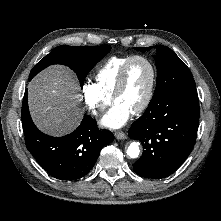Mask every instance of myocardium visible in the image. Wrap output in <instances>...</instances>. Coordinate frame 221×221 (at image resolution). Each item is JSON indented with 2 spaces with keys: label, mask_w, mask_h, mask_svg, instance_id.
<instances>
[{
  "label": "myocardium",
  "mask_w": 221,
  "mask_h": 221,
  "mask_svg": "<svg viewBox=\"0 0 221 221\" xmlns=\"http://www.w3.org/2000/svg\"><path fill=\"white\" fill-rule=\"evenodd\" d=\"M136 60H141L148 65L151 72V79L147 94L144 100L142 101V103L140 104V106L134 112H132L133 115H139L143 113L147 109L153 98L155 85H156L157 72L154 63L148 57L144 55H133L123 64L118 76L115 90L112 95V100L113 102H115L116 98L120 95V93L123 91L125 87L128 69L131 63H133Z\"/></svg>",
  "instance_id": "1"
}]
</instances>
